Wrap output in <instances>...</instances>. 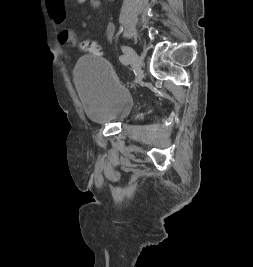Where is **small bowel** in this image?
<instances>
[{"label": "small bowel", "instance_id": "1", "mask_svg": "<svg viewBox=\"0 0 253 267\" xmlns=\"http://www.w3.org/2000/svg\"><path fill=\"white\" fill-rule=\"evenodd\" d=\"M77 4H83L86 0H75ZM48 11L56 24L62 25L67 20V14L65 10L64 0H46ZM72 32H75L72 28H67ZM114 25L110 24L107 28V36L112 39L114 35ZM68 47V46H67Z\"/></svg>", "mask_w": 253, "mask_h": 267}]
</instances>
